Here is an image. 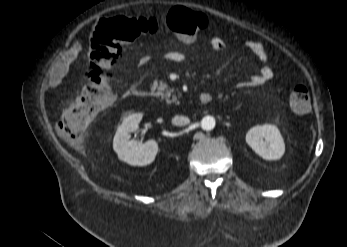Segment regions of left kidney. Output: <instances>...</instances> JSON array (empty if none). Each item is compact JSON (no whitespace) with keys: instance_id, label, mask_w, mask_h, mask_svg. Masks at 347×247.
Wrapping results in <instances>:
<instances>
[{"instance_id":"5707ae66","label":"left kidney","mask_w":347,"mask_h":247,"mask_svg":"<svg viewBox=\"0 0 347 247\" xmlns=\"http://www.w3.org/2000/svg\"><path fill=\"white\" fill-rule=\"evenodd\" d=\"M246 142L265 160H278L285 152L284 140L275 125L264 124L251 128L246 134Z\"/></svg>"}]
</instances>
